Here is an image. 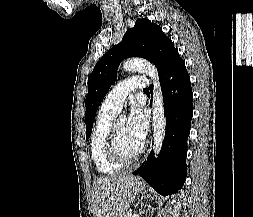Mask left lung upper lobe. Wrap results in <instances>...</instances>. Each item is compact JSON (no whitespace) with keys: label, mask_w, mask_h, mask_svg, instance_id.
<instances>
[{"label":"left lung upper lobe","mask_w":253,"mask_h":217,"mask_svg":"<svg viewBox=\"0 0 253 217\" xmlns=\"http://www.w3.org/2000/svg\"><path fill=\"white\" fill-rule=\"evenodd\" d=\"M178 55L171 39L156 24L148 19H138L133 28L125 33L122 41L113 46L96 63L88 78V94L86 97V139L91 135L94 116L115 82L117 69L123 59L137 56L143 57L157 67L159 75L169 62Z\"/></svg>","instance_id":"1"}]
</instances>
